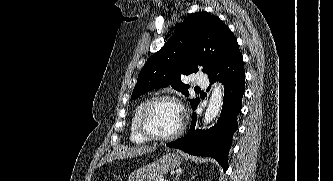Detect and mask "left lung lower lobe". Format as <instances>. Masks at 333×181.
Returning <instances> with one entry per match:
<instances>
[{"instance_id": "0a47b994", "label": "left lung lower lobe", "mask_w": 333, "mask_h": 181, "mask_svg": "<svg viewBox=\"0 0 333 181\" xmlns=\"http://www.w3.org/2000/svg\"><path fill=\"white\" fill-rule=\"evenodd\" d=\"M208 78L211 84L217 80L224 85L223 109L217 124L208 131L195 130L197 117L194 113L188 133L166 145L179 148L192 155L215 158L226 171L228 152L232 144L233 133L238 128L237 115L241 111V101L245 89L243 57L238 46ZM198 104L193 107V110L197 108Z\"/></svg>"}]
</instances>
